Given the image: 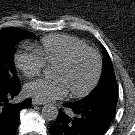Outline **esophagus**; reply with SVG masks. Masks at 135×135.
Returning <instances> with one entry per match:
<instances>
[{
    "instance_id": "esophagus-1",
    "label": "esophagus",
    "mask_w": 135,
    "mask_h": 135,
    "mask_svg": "<svg viewBox=\"0 0 135 135\" xmlns=\"http://www.w3.org/2000/svg\"><path fill=\"white\" fill-rule=\"evenodd\" d=\"M32 104H33V105H44L45 102L39 101V100L36 99V98H32Z\"/></svg>"
}]
</instances>
